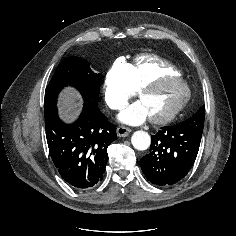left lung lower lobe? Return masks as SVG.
I'll list each match as a JSON object with an SVG mask.
<instances>
[{
	"label": "left lung lower lobe",
	"instance_id": "obj_1",
	"mask_svg": "<svg viewBox=\"0 0 236 236\" xmlns=\"http://www.w3.org/2000/svg\"><path fill=\"white\" fill-rule=\"evenodd\" d=\"M202 131L182 126L162 127L151 136L150 153L140 160L146 178L159 186L183 179L197 157Z\"/></svg>",
	"mask_w": 236,
	"mask_h": 236
}]
</instances>
